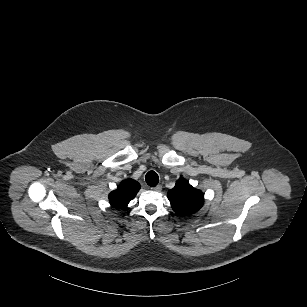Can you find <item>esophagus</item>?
I'll return each mask as SVG.
<instances>
[{"label":"esophagus","mask_w":307,"mask_h":307,"mask_svg":"<svg viewBox=\"0 0 307 307\" xmlns=\"http://www.w3.org/2000/svg\"><path fill=\"white\" fill-rule=\"evenodd\" d=\"M153 191H157V192H160L162 190V185H156L155 187H152L151 188Z\"/></svg>","instance_id":"obj_1"}]
</instances>
